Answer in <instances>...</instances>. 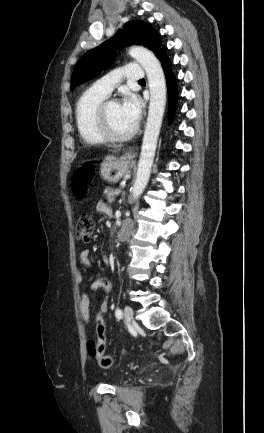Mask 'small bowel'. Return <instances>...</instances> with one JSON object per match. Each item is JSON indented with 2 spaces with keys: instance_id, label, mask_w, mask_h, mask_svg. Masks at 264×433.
I'll return each instance as SVG.
<instances>
[{
  "instance_id": "1",
  "label": "small bowel",
  "mask_w": 264,
  "mask_h": 433,
  "mask_svg": "<svg viewBox=\"0 0 264 433\" xmlns=\"http://www.w3.org/2000/svg\"><path fill=\"white\" fill-rule=\"evenodd\" d=\"M96 209H97V211H99L101 213H105L108 215L111 214V210H110L109 206L103 201H99L97 203ZM79 260H80V263L82 265L91 266V262L89 259V253L87 250H83L80 252ZM77 281H78V283H82V281H83L82 275L80 273L77 274ZM90 288L93 291L98 290V289H103L105 291L106 300L104 301L102 306L104 307L105 312H106L107 306H108V299H109V297L112 293V290H113L112 283L106 278H98L92 282ZM80 313H81L82 319L85 322L89 323L91 320V310H90V297L88 294H82V296L80 298ZM97 349H98V343L96 340H89L87 342V352H88L90 357H92V358L97 357Z\"/></svg>"
}]
</instances>
